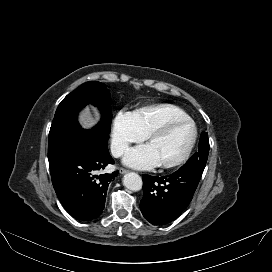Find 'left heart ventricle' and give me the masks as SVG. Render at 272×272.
Returning <instances> with one entry per match:
<instances>
[{"label":"left heart ventricle","instance_id":"1","mask_svg":"<svg viewBox=\"0 0 272 272\" xmlns=\"http://www.w3.org/2000/svg\"><path fill=\"white\" fill-rule=\"evenodd\" d=\"M193 135L189 124H179L168 132L153 138L148 145L159 163H171L180 158L188 148Z\"/></svg>","mask_w":272,"mask_h":272}]
</instances>
